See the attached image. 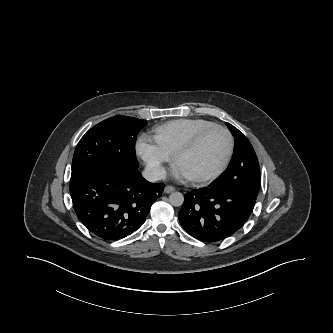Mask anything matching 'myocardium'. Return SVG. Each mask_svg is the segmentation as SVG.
<instances>
[{
    "label": "myocardium",
    "mask_w": 333,
    "mask_h": 333,
    "mask_svg": "<svg viewBox=\"0 0 333 333\" xmlns=\"http://www.w3.org/2000/svg\"><path fill=\"white\" fill-rule=\"evenodd\" d=\"M214 130H220L222 131L228 140V150L226 157L223 161V163L220 165V167L214 171L213 173L201 176V177H187V179L194 183V184H208L212 181L216 180L219 176H221L227 167L229 166L233 153H234V138L231 134V132L223 125L220 124H214L212 126H209L200 132H198L191 140H189L186 144L181 146L174 154H173V162L174 164H177L178 160L185 154L191 152L194 150L199 143L203 140V138L208 135L210 132Z\"/></svg>",
    "instance_id": "1"
}]
</instances>
